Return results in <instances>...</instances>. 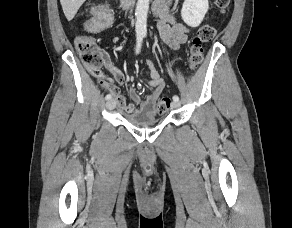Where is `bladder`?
<instances>
[{
  "label": "bladder",
  "mask_w": 292,
  "mask_h": 228,
  "mask_svg": "<svg viewBox=\"0 0 292 228\" xmlns=\"http://www.w3.org/2000/svg\"><path fill=\"white\" fill-rule=\"evenodd\" d=\"M126 120L133 125L146 127L151 126L160 121L155 115L131 114L126 116Z\"/></svg>",
  "instance_id": "31cf9c89"
}]
</instances>
